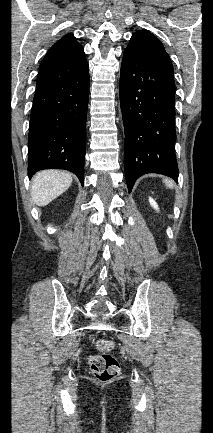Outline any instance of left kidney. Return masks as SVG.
<instances>
[{"mask_svg":"<svg viewBox=\"0 0 213 433\" xmlns=\"http://www.w3.org/2000/svg\"><path fill=\"white\" fill-rule=\"evenodd\" d=\"M149 202H150V205L155 209V210H159V208H158V205L156 204V202L154 201V199L153 198H149Z\"/></svg>","mask_w":213,"mask_h":433,"instance_id":"5707ae66","label":"left kidney"}]
</instances>
